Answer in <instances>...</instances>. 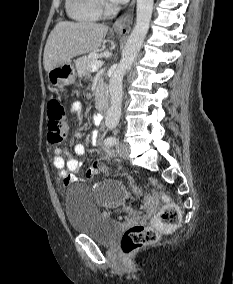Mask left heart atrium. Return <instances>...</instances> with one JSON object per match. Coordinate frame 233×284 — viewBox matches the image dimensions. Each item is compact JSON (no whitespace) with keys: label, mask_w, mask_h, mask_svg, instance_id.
<instances>
[{"label":"left heart atrium","mask_w":233,"mask_h":284,"mask_svg":"<svg viewBox=\"0 0 233 284\" xmlns=\"http://www.w3.org/2000/svg\"><path fill=\"white\" fill-rule=\"evenodd\" d=\"M111 1H113L115 3H125L128 0H111Z\"/></svg>","instance_id":"left-heart-atrium-1"}]
</instances>
